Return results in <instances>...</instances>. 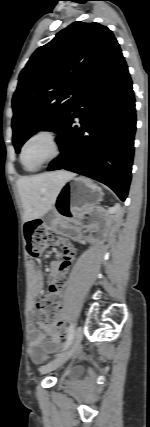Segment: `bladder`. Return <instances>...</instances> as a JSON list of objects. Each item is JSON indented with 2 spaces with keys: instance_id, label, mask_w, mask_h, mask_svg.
<instances>
[{
  "instance_id": "1",
  "label": "bladder",
  "mask_w": 150,
  "mask_h": 427,
  "mask_svg": "<svg viewBox=\"0 0 150 427\" xmlns=\"http://www.w3.org/2000/svg\"><path fill=\"white\" fill-rule=\"evenodd\" d=\"M77 370L76 369H72L70 372H69V376H73V375H75V374H77Z\"/></svg>"
}]
</instances>
